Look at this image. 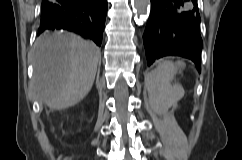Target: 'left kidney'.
I'll return each instance as SVG.
<instances>
[{"mask_svg":"<svg viewBox=\"0 0 242 160\" xmlns=\"http://www.w3.org/2000/svg\"><path fill=\"white\" fill-rule=\"evenodd\" d=\"M181 96H179L177 99H180ZM176 100L172 102V105H175ZM168 110V108H164V107H160L159 108V112H166Z\"/></svg>","mask_w":242,"mask_h":160,"instance_id":"5707ae66","label":"left kidney"}]
</instances>
